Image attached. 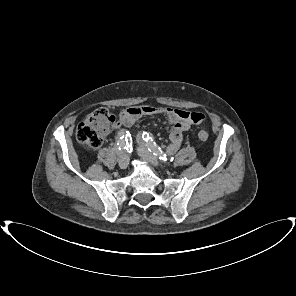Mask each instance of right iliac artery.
<instances>
[{
	"label": "right iliac artery",
	"mask_w": 296,
	"mask_h": 296,
	"mask_svg": "<svg viewBox=\"0 0 296 296\" xmlns=\"http://www.w3.org/2000/svg\"><path fill=\"white\" fill-rule=\"evenodd\" d=\"M118 150L120 152L124 151L126 149L125 146V131H121L118 134V142H117Z\"/></svg>",
	"instance_id": "obj_1"
}]
</instances>
